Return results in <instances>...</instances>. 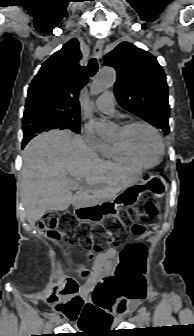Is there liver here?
Masks as SVG:
<instances>
[{
	"instance_id": "liver-1",
	"label": "liver",
	"mask_w": 194,
	"mask_h": 336,
	"mask_svg": "<svg viewBox=\"0 0 194 336\" xmlns=\"http://www.w3.org/2000/svg\"><path fill=\"white\" fill-rule=\"evenodd\" d=\"M21 191L26 218L34 225L48 210L91 207L136 184L141 172L102 160L70 131H51L23 151ZM72 190H78L74 195Z\"/></svg>"
}]
</instances>
